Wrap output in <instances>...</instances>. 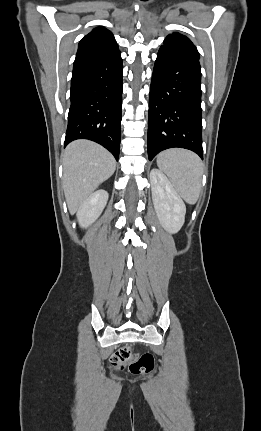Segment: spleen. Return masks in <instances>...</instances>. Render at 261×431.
Listing matches in <instances>:
<instances>
[{
	"instance_id": "spleen-1",
	"label": "spleen",
	"mask_w": 261,
	"mask_h": 431,
	"mask_svg": "<svg viewBox=\"0 0 261 431\" xmlns=\"http://www.w3.org/2000/svg\"><path fill=\"white\" fill-rule=\"evenodd\" d=\"M157 165L185 202H197L203 171L202 162L195 153L184 149H169L158 155Z\"/></svg>"
}]
</instances>
